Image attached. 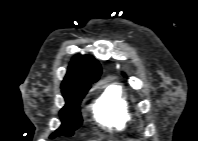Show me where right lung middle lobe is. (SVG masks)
Listing matches in <instances>:
<instances>
[{
  "label": "right lung middle lobe",
  "mask_w": 198,
  "mask_h": 141,
  "mask_svg": "<svg viewBox=\"0 0 198 141\" xmlns=\"http://www.w3.org/2000/svg\"><path fill=\"white\" fill-rule=\"evenodd\" d=\"M89 89L90 85H76L62 88V93L66 101L65 106L60 111L62 125L50 136L51 139L60 135L72 136L73 132L81 126L82 118L79 104Z\"/></svg>",
  "instance_id": "dd1d6c3e"
}]
</instances>
